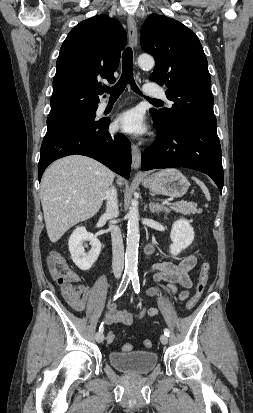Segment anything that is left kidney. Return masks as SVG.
<instances>
[{
  "label": "left kidney",
  "instance_id": "obj_1",
  "mask_svg": "<svg viewBox=\"0 0 253 413\" xmlns=\"http://www.w3.org/2000/svg\"><path fill=\"white\" fill-rule=\"evenodd\" d=\"M194 230L188 220L179 219L172 225L170 238V253L177 256L182 250L186 249L194 239Z\"/></svg>",
  "mask_w": 253,
  "mask_h": 413
}]
</instances>
